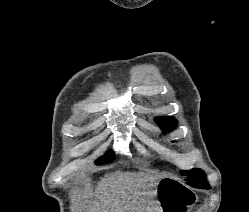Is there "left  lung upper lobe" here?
<instances>
[{
    "instance_id": "left-lung-upper-lobe-1",
    "label": "left lung upper lobe",
    "mask_w": 249,
    "mask_h": 212,
    "mask_svg": "<svg viewBox=\"0 0 249 212\" xmlns=\"http://www.w3.org/2000/svg\"><path fill=\"white\" fill-rule=\"evenodd\" d=\"M157 123L165 132H170L176 127L177 121L173 117H159ZM181 174L187 176V182L192 187L208 186L204 172L200 169H193L191 171L182 170Z\"/></svg>"
}]
</instances>
